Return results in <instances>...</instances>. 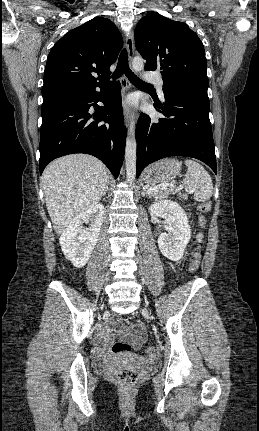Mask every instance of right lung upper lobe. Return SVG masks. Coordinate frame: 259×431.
I'll return each instance as SVG.
<instances>
[{
    "label": "right lung upper lobe",
    "instance_id": "1",
    "mask_svg": "<svg viewBox=\"0 0 259 431\" xmlns=\"http://www.w3.org/2000/svg\"><path fill=\"white\" fill-rule=\"evenodd\" d=\"M122 45L118 28L107 18L96 17L69 31L48 55L42 90L83 88L108 82L109 68Z\"/></svg>",
    "mask_w": 259,
    "mask_h": 431
}]
</instances>
